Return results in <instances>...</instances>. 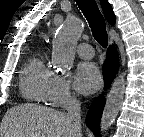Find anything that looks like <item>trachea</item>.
<instances>
[{"instance_id": "trachea-1", "label": "trachea", "mask_w": 144, "mask_h": 137, "mask_svg": "<svg viewBox=\"0 0 144 137\" xmlns=\"http://www.w3.org/2000/svg\"><path fill=\"white\" fill-rule=\"evenodd\" d=\"M76 2L86 17L95 40L101 44L102 47H107L108 35L106 31V24L96 1L76 0Z\"/></svg>"}]
</instances>
